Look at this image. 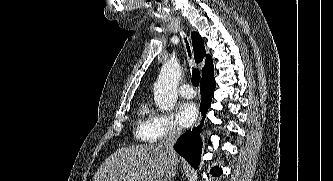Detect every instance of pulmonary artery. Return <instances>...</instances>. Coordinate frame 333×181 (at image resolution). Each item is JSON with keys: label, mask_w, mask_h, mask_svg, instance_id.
<instances>
[{"label": "pulmonary artery", "mask_w": 333, "mask_h": 181, "mask_svg": "<svg viewBox=\"0 0 333 181\" xmlns=\"http://www.w3.org/2000/svg\"><path fill=\"white\" fill-rule=\"evenodd\" d=\"M179 94L187 99L194 98L196 92L190 84H182L179 88Z\"/></svg>", "instance_id": "obj_1"}]
</instances>
